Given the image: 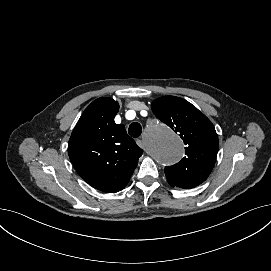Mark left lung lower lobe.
I'll use <instances>...</instances> for the list:
<instances>
[{
  "label": "left lung lower lobe",
  "instance_id": "1",
  "mask_svg": "<svg viewBox=\"0 0 271 271\" xmlns=\"http://www.w3.org/2000/svg\"><path fill=\"white\" fill-rule=\"evenodd\" d=\"M172 187H175V186H172ZM177 188H181V187H177ZM182 189H186V188H182Z\"/></svg>",
  "mask_w": 271,
  "mask_h": 271
}]
</instances>
